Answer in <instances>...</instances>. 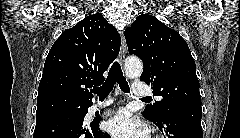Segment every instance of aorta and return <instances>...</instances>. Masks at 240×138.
I'll use <instances>...</instances> for the list:
<instances>
[{
	"mask_svg": "<svg viewBox=\"0 0 240 138\" xmlns=\"http://www.w3.org/2000/svg\"><path fill=\"white\" fill-rule=\"evenodd\" d=\"M143 64L138 58L130 57L125 61V72L128 77L135 78L141 75Z\"/></svg>",
	"mask_w": 240,
	"mask_h": 138,
	"instance_id": "1",
	"label": "aorta"
}]
</instances>
